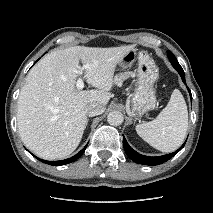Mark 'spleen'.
Returning <instances> with one entry per match:
<instances>
[{
	"label": "spleen",
	"mask_w": 213,
	"mask_h": 213,
	"mask_svg": "<svg viewBox=\"0 0 213 213\" xmlns=\"http://www.w3.org/2000/svg\"><path fill=\"white\" fill-rule=\"evenodd\" d=\"M188 129V111L181 92L175 89L167 106L152 121L136 126L137 134L162 152L176 150L183 143Z\"/></svg>",
	"instance_id": "3e777b00"
}]
</instances>
